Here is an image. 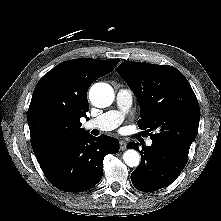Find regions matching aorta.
Here are the masks:
<instances>
[{
  "label": "aorta",
  "instance_id": "762f6f07",
  "mask_svg": "<svg viewBox=\"0 0 221 221\" xmlns=\"http://www.w3.org/2000/svg\"><path fill=\"white\" fill-rule=\"evenodd\" d=\"M89 99L96 107H108L114 100L113 88L106 83H96L89 90ZM123 160L127 166L137 167L140 163V154L134 149H128L123 154Z\"/></svg>",
  "mask_w": 221,
  "mask_h": 221
}]
</instances>
